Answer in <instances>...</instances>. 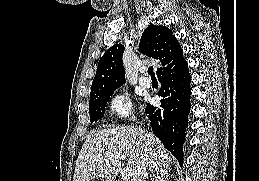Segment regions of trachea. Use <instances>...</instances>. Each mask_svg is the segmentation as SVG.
Returning <instances> with one entry per match:
<instances>
[{"instance_id":"obj_1","label":"trachea","mask_w":259,"mask_h":181,"mask_svg":"<svg viewBox=\"0 0 259 181\" xmlns=\"http://www.w3.org/2000/svg\"><path fill=\"white\" fill-rule=\"evenodd\" d=\"M148 74L151 76V78H156V76H155V73H154V70H153V67H152V66H150V67L148 68Z\"/></svg>"}]
</instances>
